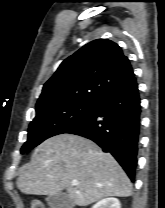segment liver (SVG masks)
I'll use <instances>...</instances> for the list:
<instances>
[{"instance_id":"obj_1","label":"liver","mask_w":165,"mask_h":208,"mask_svg":"<svg viewBox=\"0 0 165 208\" xmlns=\"http://www.w3.org/2000/svg\"><path fill=\"white\" fill-rule=\"evenodd\" d=\"M78 185H72V181ZM28 195H55L66 189L75 205L84 207L110 196L128 197L132 184L110 153L93 141L60 134L41 143L18 180Z\"/></svg>"}]
</instances>
